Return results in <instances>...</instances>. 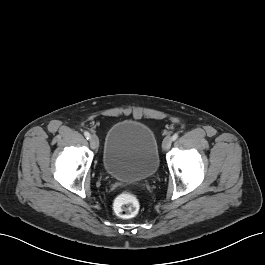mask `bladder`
<instances>
[{"label": "bladder", "mask_w": 265, "mask_h": 265, "mask_svg": "<svg viewBox=\"0 0 265 265\" xmlns=\"http://www.w3.org/2000/svg\"><path fill=\"white\" fill-rule=\"evenodd\" d=\"M104 170L124 181H145L159 167L158 143L154 131L145 123L125 119L107 131L103 153Z\"/></svg>", "instance_id": "obj_1"}]
</instances>
